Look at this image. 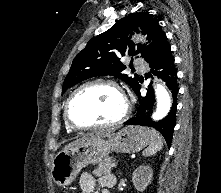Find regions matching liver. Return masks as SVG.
<instances>
[{
	"label": "liver",
	"instance_id": "1",
	"mask_svg": "<svg viewBox=\"0 0 221 193\" xmlns=\"http://www.w3.org/2000/svg\"><path fill=\"white\" fill-rule=\"evenodd\" d=\"M111 133L110 130H99V131H95V132H92L90 134H87L85 136H83L82 138L80 139H77L69 144H67L63 150H68L72 147H75V146H79V145H82L83 143L85 142H88V141H93V140H96V139H100V138H103V137H106L108 136L109 134Z\"/></svg>",
	"mask_w": 221,
	"mask_h": 193
}]
</instances>
